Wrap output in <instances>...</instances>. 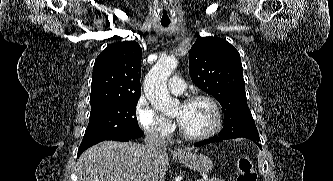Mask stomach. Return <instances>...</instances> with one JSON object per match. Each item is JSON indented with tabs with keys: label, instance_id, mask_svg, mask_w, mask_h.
I'll list each match as a JSON object with an SVG mask.
<instances>
[{
	"label": "stomach",
	"instance_id": "obj_1",
	"mask_svg": "<svg viewBox=\"0 0 333 181\" xmlns=\"http://www.w3.org/2000/svg\"><path fill=\"white\" fill-rule=\"evenodd\" d=\"M178 158L182 164L195 172L208 173L213 168L212 160L204 154L186 152L178 155Z\"/></svg>",
	"mask_w": 333,
	"mask_h": 181
}]
</instances>
